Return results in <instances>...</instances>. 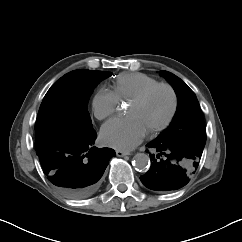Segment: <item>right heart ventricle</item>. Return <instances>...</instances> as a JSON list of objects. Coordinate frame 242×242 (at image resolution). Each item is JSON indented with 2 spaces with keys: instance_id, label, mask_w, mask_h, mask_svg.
<instances>
[{
  "instance_id": "e07e8e85",
  "label": "right heart ventricle",
  "mask_w": 242,
  "mask_h": 242,
  "mask_svg": "<svg viewBox=\"0 0 242 242\" xmlns=\"http://www.w3.org/2000/svg\"><path fill=\"white\" fill-rule=\"evenodd\" d=\"M159 83L157 79L140 72H127L114 80V92L120 100L130 101L147 88Z\"/></svg>"
}]
</instances>
